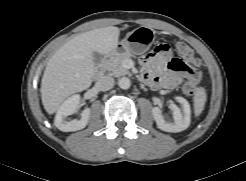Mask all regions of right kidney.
<instances>
[{
  "mask_svg": "<svg viewBox=\"0 0 246 181\" xmlns=\"http://www.w3.org/2000/svg\"><path fill=\"white\" fill-rule=\"evenodd\" d=\"M80 95L75 94L65 100L59 107L55 116L54 125L63 132L78 131L86 127L89 122L90 108H85L81 113L80 120L65 121V118L74 114L79 108Z\"/></svg>",
  "mask_w": 246,
  "mask_h": 181,
  "instance_id": "right-kidney-1",
  "label": "right kidney"
}]
</instances>
